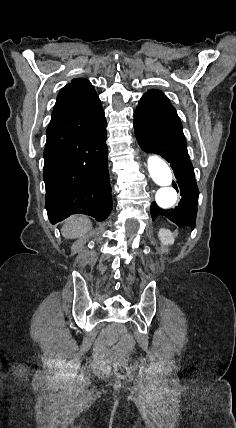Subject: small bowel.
<instances>
[{"label": "small bowel", "instance_id": "c3829d8e", "mask_svg": "<svg viewBox=\"0 0 236 428\" xmlns=\"http://www.w3.org/2000/svg\"><path fill=\"white\" fill-rule=\"evenodd\" d=\"M124 328L115 322L108 325L96 339L93 347L95 357L103 364H108L121 349Z\"/></svg>", "mask_w": 236, "mask_h": 428}]
</instances>
